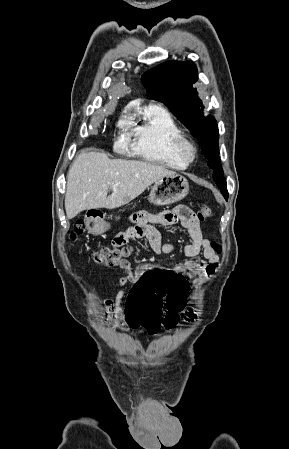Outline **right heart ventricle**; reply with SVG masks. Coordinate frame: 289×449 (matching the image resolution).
<instances>
[{
  "label": "right heart ventricle",
  "instance_id": "e07e8e85",
  "mask_svg": "<svg viewBox=\"0 0 289 449\" xmlns=\"http://www.w3.org/2000/svg\"><path fill=\"white\" fill-rule=\"evenodd\" d=\"M181 130L171 114L159 105L151 104L139 114L132 128V152L134 155L184 170L189 163L179 158L173 149V139Z\"/></svg>",
  "mask_w": 289,
  "mask_h": 449
}]
</instances>
